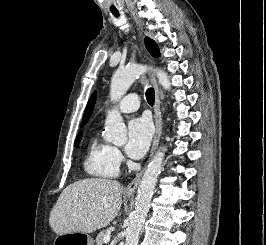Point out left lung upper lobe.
Listing matches in <instances>:
<instances>
[{
    "label": "left lung upper lobe",
    "instance_id": "5c2ea615",
    "mask_svg": "<svg viewBox=\"0 0 266 245\" xmlns=\"http://www.w3.org/2000/svg\"><path fill=\"white\" fill-rule=\"evenodd\" d=\"M145 45H146L147 50L151 53L152 56H154V57L160 56L159 48L154 41H152L151 39L146 37L145 38Z\"/></svg>",
    "mask_w": 266,
    "mask_h": 245
}]
</instances>
